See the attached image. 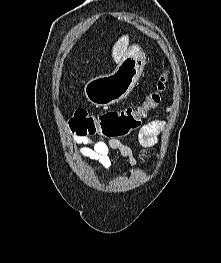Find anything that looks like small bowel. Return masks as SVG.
Returning <instances> with one entry per match:
<instances>
[{
  "label": "small bowel",
  "instance_id": "small-bowel-1",
  "mask_svg": "<svg viewBox=\"0 0 221 263\" xmlns=\"http://www.w3.org/2000/svg\"><path fill=\"white\" fill-rule=\"evenodd\" d=\"M164 127L165 122L160 120L152 121L142 126L138 132V141L140 145L143 147H152L157 144V134ZM70 142L74 145H80L77 150L80 156L98 161L105 170L109 169L111 166L110 153L112 150H117L123 157L127 158L131 166L136 163V158L132 149L118 139L92 142L86 137L73 135L70 137ZM157 157L160 159L161 154H157Z\"/></svg>",
  "mask_w": 221,
  "mask_h": 263
}]
</instances>
